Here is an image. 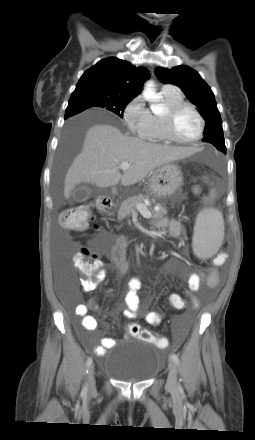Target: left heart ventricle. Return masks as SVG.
<instances>
[{"label": "left heart ventricle", "instance_id": "left-heart-ventricle-1", "mask_svg": "<svg viewBox=\"0 0 255 440\" xmlns=\"http://www.w3.org/2000/svg\"><path fill=\"white\" fill-rule=\"evenodd\" d=\"M199 131V120L189 109L181 111L174 121L175 135L181 140L194 138Z\"/></svg>", "mask_w": 255, "mask_h": 440}]
</instances>
